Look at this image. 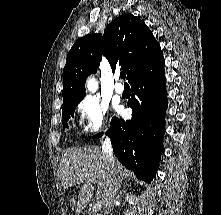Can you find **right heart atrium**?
Wrapping results in <instances>:
<instances>
[{"label":"right heart atrium","instance_id":"1","mask_svg":"<svg viewBox=\"0 0 221 215\" xmlns=\"http://www.w3.org/2000/svg\"><path fill=\"white\" fill-rule=\"evenodd\" d=\"M77 112L82 118L85 131L97 134L106 126L109 107L100 98L88 96L80 101Z\"/></svg>","mask_w":221,"mask_h":215}]
</instances>
